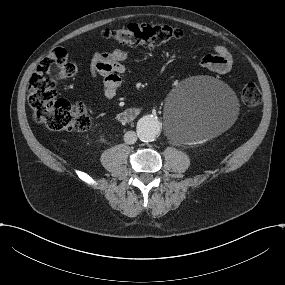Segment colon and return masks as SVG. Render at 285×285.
<instances>
[{
    "mask_svg": "<svg viewBox=\"0 0 285 285\" xmlns=\"http://www.w3.org/2000/svg\"><path fill=\"white\" fill-rule=\"evenodd\" d=\"M179 28L167 24H129L119 29H106L102 36L113 43L125 45L145 44L159 46L181 37ZM77 71L68 59L64 48L54 49L38 65L32 75L28 88V104L36 122L48 130L84 131L90 127L91 119L82 103H70L57 97L55 84L58 80L72 77ZM246 107H255L261 101V91L254 83L244 86L241 93Z\"/></svg>",
    "mask_w": 285,
    "mask_h": 285,
    "instance_id": "obj_1",
    "label": "colon"
}]
</instances>
